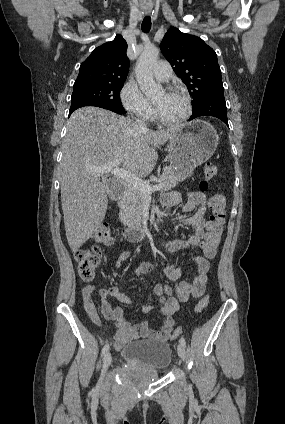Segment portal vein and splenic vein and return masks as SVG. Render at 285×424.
<instances>
[{"mask_svg": "<svg viewBox=\"0 0 285 424\" xmlns=\"http://www.w3.org/2000/svg\"><path fill=\"white\" fill-rule=\"evenodd\" d=\"M119 164L120 161L117 160L101 167H96L93 170L97 173L102 174L111 173L115 177L124 180L129 186L141 191L147 197H150L153 192L159 191L163 188V184L161 183L154 186L149 185V183L140 179L133 173L127 171L124 168L119 167Z\"/></svg>", "mask_w": 285, "mask_h": 424, "instance_id": "obj_1", "label": "portal vein and splenic vein"}]
</instances>
